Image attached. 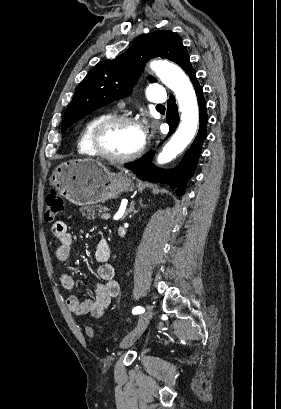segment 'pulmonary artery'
<instances>
[{
    "instance_id": "pulmonary-artery-1",
    "label": "pulmonary artery",
    "mask_w": 281,
    "mask_h": 409,
    "mask_svg": "<svg viewBox=\"0 0 281 409\" xmlns=\"http://www.w3.org/2000/svg\"><path fill=\"white\" fill-rule=\"evenodd\" d=\"M146 87L148 90L145 92V97L151 103H164L166 101L165 87L162 86L161 81H148Z\"/></svg>"
}]
</instances>
